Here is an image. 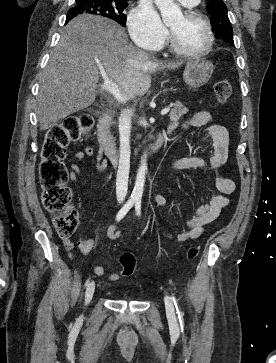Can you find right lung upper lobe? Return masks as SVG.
Segmentation results:
<instances>
[{
  "instance_id": "obj_1",
  "label": "right lung upper lobe",
  "mask_w": 276,
  "mask_h": 363,
  "mask_svg": "<svg viewBox=\"0 0 276 363\" xmlns=\"http://www.w3.org/2000/svg\"><path fill=\"white\" fill-rule=\"evenodd\" d=\"M111 1H121V2H127L128 0H111Z\"/></svg>"
}]
</instances>
